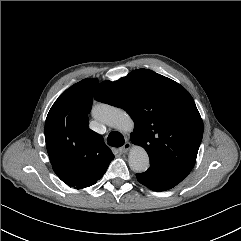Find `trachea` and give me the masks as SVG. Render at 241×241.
<instances>
[{"label": "trachea", "mask_w": 241, "mask_h": 241, "mask_svg": "<svg viewBox=\"0 0 241 241\" xmlns=\"http://www.w3.org/2000/svg\"><path fill=\"white\" fill-rule=\"evenodd\" d=\"M108 144L113 147H121L124 144V137L121 133L113 131L108 136Z\"/></svg>", "instance_id": "3493384b"}]
</instances>
